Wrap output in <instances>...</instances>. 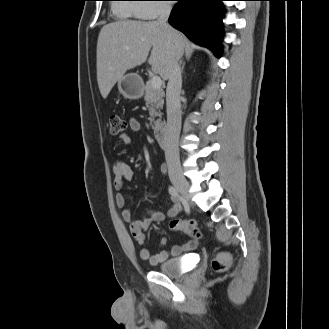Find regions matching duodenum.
<instances>
[{
	"mask_svg": "<svg viewBox=\"0 0 329 329\" xmlns=\"http://www.w3.org/2000/svg\"><path fill=\"white\" fill-rule=\"evenodd\" d=\"M152 128L155 138L157 139L160 146L167 149L169 147L168 132L163 122L155 120L153 122Z\"/></svg>",
	"mask_w": 329,
	"mask_h": 329,
	"instance_id": "duodenum-1",
	"label": "duodenum"
}]
</instances>
